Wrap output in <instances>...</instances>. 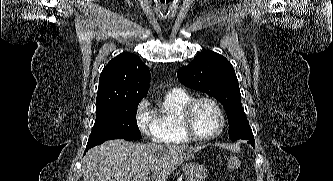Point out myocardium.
I'll return each mask as SVG.
<instances>
[{
    "label": "myocardium",
    "mask_w": 333,
    "mask_h": 181,
    "mask_svg": "<svg viewBox=\"0 0 333 181\" xmlns=\"http://www.w3.org/2000/svg\"><path fill=\"white\" fill-rule=\"evenodd\" d=\"M200 103H208V104L212 105L216 109L218 116L220 118L219 128L211 136H201L196 132V130L194 128L193 114H194L196 107ZM181 121H182V127H183L185 134L192 140H196V141H211V140L216 139L217 137H219L222 134V132L225 128V123H226L225 114H224V111H223L221 105L215 99L210 98V97H197V98L191 99L182 110Z\"/></svg>",
    "instance_id": "f54148a6"
}]
</instances>
